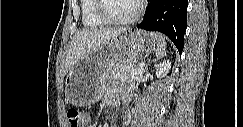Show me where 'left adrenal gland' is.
Segmentation results:
<instances>
[{
  "instance_id": "left-adrenal-gland-1",
  "label": "left adrenal gland",
  "mask_w": 243,
  "mask_h": 127,
  "mask_svg": "<svg viewBox=\"0 0 243 127\" xmlns=\"http://www.w3.org/2000/svg\"><path fill=\"white\" fill-rule=\"evenodd\" d=\"M149 64H150V61L146 64L144 71H147Z\"/></svg>"
}]
</instances>
